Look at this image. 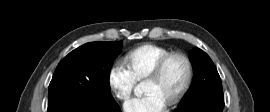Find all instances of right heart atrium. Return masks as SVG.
I'll use <instances>...</instances> for the list:
<instances>
[{
	"instance_id": "d8ad5b80",
	"label": "right heart atrium",
	"mask_w": 270,
	"mask_h": 112,
	"mask_svg": "<svg viewBox=\"0 0 270 112\" xmlns=\"http://www.w3.org/2000/svg\"><path fill=\"white\" fill-rule=\"evenodd\" d=\"M107 84L116 99L126 101L133 92L136 79L127 66L122 62H115L108 70Z\"/></svg>"
}]
</instances>
